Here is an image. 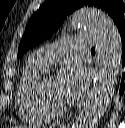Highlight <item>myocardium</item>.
<instances>
[{
  "instance_id": "myocardium-1",
  "label": "myocardium",
  "mask_w": 125,
  "mask_h": 128,
  "mask_svg": "<svg viewBox=\"0 0 125 128\" xmlns=\"http://www.w3.org/2000/svg\"><path fill=\"white\" fill-rule=\"evenodd\" d=\"M45 79L46 78L40 80L37 84L36 92L38 100L43 109L46 110L50 115H52L53 117L61 116L67 112L68 107L67 105L57 104L47 97L43 87Z\"/></svg>"
}]
</instances>
